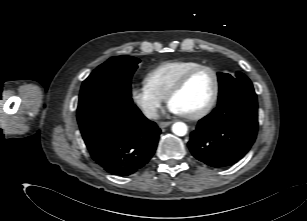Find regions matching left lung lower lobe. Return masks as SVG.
Listing matches in <instances>:
<instances>
[{"label":"left lung lower lobe","instance_id":"1","mask_svg":"<svg viewBox=\"0 0 307 221\" xmlns=\"http://www.w3.org/2000/svg\"><path fill=\"white\" fill-rule=\"evenodd\" d=\"M258 129L256 94L217 105L198 122L188 143L193 156L211 167H228L250 150Z\"/></svg>","mask_w":307,"mask_h":221}]
</instances>
